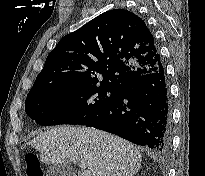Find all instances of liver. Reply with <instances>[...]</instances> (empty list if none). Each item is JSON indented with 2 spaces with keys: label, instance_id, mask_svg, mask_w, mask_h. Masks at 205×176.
Masks as SVG:
<instances>
[{
  "label": "liver",
  "instance_id": "6515ba94",
  "mask_svg": "<svg viewBox=\"0 0 205 176\" xmlns=\"http://www.w3.org/2000/svg\"><path fill=\"white\" fill-rule=\"evenodd\" d=\"M28 145L40 152L45 164L84 163L78 176H133L142 154L132 143L97 129L55 127L38 134Z\"/></svg>",
  "mask_w": 205,
  "mask_h": 176
}]
</instances>
